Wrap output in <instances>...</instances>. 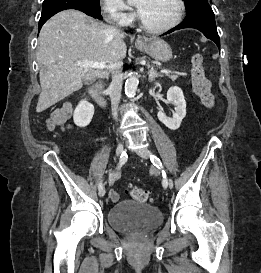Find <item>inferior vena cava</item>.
I'll list each match as a JSON object with an SVG mask.
<instances>
[{
    "instance_id": "obj_1",
    "label": "inferior vena cava",
    "mask_w": 261,
    "mask_h": 273,
    "mask_svg": "<svg viewBox=\"0 0 261 273\" xmlns=\"http://www.w3.org/2000/svg\"><path fill=\"white\" fill-rule=\"evenodd\" d=\"M122 62L118 61L115 63L110 72L112 74V81L109 86V95L111 98L112 116L115 120L118 118V105L121 99L122 90V73H121Z\"/></svg>"
}]
</instances>
